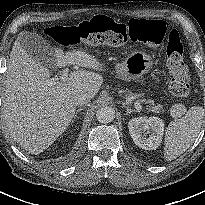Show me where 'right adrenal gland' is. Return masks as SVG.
Listing matches in <instances>:
<instances>
[{"label":"right adrenal gland","mask_w":205,"mask_h":205,"mask_svg":"<svg viewBox=\"0 0 205 205\" xmlns=\"http://www.w3.org/2000/svg\"><path fill=\"white\" fill-rule=\"evenodd\" d=\"M82 110V108H79L76 110L75 115L73 117L72 123L75 121V119L77 118V114Z\"/></svg>","instance_id":"right-adrenal-gland-1"}]
</instances>
